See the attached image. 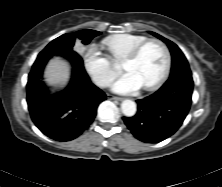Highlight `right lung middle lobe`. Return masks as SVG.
<instances>
[{
    "mask_svg": "<svg viewBox=\"0 0 222 187\" xmlns=\"http://www.w3.org/2000/svg\"><path fill=\"white\" fill-rule=\"evenodd\" d=\"M99 34H101V32L90 29L81 30L76 32L75 34H64L50 42L47 45L46 49L73 52V46L76 38H80L82 42L86 45L92 40V38Z\"/></svg>",
    "mask_w": 222,
    "mask_h": 187,
    "instance_id": "1",
    "label": "right lung middle lobe"
}]
</instances>
